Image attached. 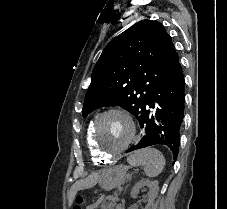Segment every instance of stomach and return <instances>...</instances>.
<instances>
[{
  "instance_id": "0dacf381",
  "label": "stomach",
  "mask_w": 227,
  "mask_h": 209,
  "mask_svg": "<svg viewBox=\"0 0 227 209\" xmlns=\"http://www.w3.org/2000/svg\"><path fill=\"white\" fill-rule=\"evenodd\" d=\"M127 173V167L124 165H117L104 171L99 178V184L104 190H112L124 184Z\"/></svg>"
}]
</instances>
